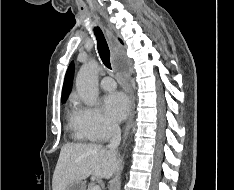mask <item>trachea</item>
Listing matches in <instances>:
<instances>
[{
  "label": "trachea",
  "instance_id": "trachea-1",
  "mask_svg": "<svg viewBox=\"0 0 234 190\" xmlns=\"http://www.w3.org/2000/svg\"><path fill=\"white\" fill-rule=\"evenodd\" d=\"M93 31H94V34H95L96 39H97V48H98L100 58H101L103 64L108 69H111L110 50H109L108 44L106 42V39L104 37V34L99 27H94Z\"/></svg>",
  "mask_w": 234,
  "mask_h": 190
}]
</instances>
